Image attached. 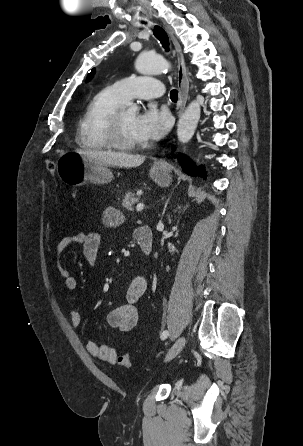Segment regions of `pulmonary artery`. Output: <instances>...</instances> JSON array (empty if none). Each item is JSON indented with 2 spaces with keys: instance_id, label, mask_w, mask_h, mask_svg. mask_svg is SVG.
Here are the masks:
<instances>
[{
  "instance_id": "e3ab8cb5",
  "label": "pulmonary artery",
  "mask_w": 303,
  "mask_h": 446,
  "mask_svg": "<svg viewBox=\"0 0 303 446\" xmlns=\"http://www.w3.org/2000/svg\"><path fill=\"white\" fill-rule=\"evenodd\" d=\"M120 96L127 100L132 98L154 99L163 94V84L156 78L148 76H132L123 78L113 84Z\"/></svg>"
}]
</instances>
